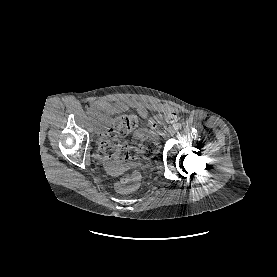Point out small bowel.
Returning a JSON list of instances; mask_svg holds the SVG:
<instances>
[{"mask_svg":"<svg viewBox=\"0 0 277 277\" xmlns=\"http://www.w3.org/2000/svg\"><path fill=\"white\" fill-rule=\"evenodd\" d=\"M119 106H126L123 102L108 103L106 101H96L92 104V115L103 125H106L109 122L107 112L115 109ZM135 107L142 116H146L149 110L155 111L159 114L161 119H172L175 116L174 110L164 104H147L143 102H138L135 104ZM157 122V118L149 119L150 124ZM142 132H138L134 135L135 138H140ZM109 168H113L111 164H107Z\"/></svg>","mask_w":277,"mask_h":277,"instance_id":"small-bowel-1","label":"small bowel"}]
</instances>
